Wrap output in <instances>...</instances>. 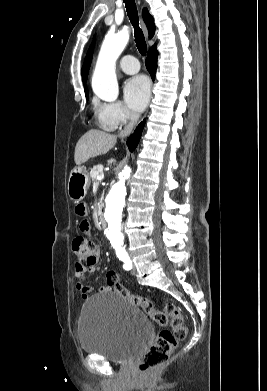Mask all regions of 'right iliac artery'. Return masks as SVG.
I'll list each match as a JSON object with an SVG mask.
<instances>
[{
    "label": "right iliac artery",
    "instance_id": "1",
    "mask_svg": "<svg viewBox=\"0 0 267 391\" xmlns=\"http://www.w3.org/2000/svg\"><path fill=\"white\" fill-rule=\"evenodd\" d=\"M121 260L124 262L123 267L125 270H130L132 268V264L128 256L121 258Z\"/></svg>",
    "mask_w": 267,
    "mask_h": 391
}]
</instances>
